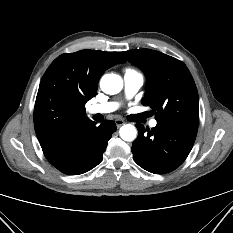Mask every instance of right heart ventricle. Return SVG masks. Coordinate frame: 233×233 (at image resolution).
I'll list each match as a JSON object with an SVG mask.
<instances>
[{
	"instance_id": "e07e8e85",
	"label": "right heart ventricle",
	"mask_w": 233,
	"mask_h": 233,
	"mask_svg": "<svg viewBox=\"0 0 233 233\" xmlns=\"http://www.w3.org/2000/svg\"><path fill=\"white\" fill-rule=\"evenodd\" d=\"M127 73H136V71L134 69H132V68H127L126 69V74Z\"/></svg>"
}]
</instances>
